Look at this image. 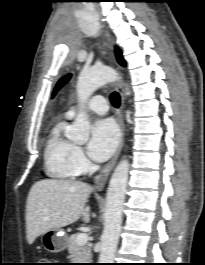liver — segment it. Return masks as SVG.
Instances as JSON below:
<instances>
[{"label":"liver","instance_id":"1","mask_svg":"<svg viewBox=\"0 0 205 265\" xmlns=\"http://www.w3.org/2000/svg\"><path fill=\"white\" fill-rule=\"evenodd\" d=\"M92 187L81 181L40 180L31 187L26 203L27 241L49 230L60 229L76 222L80 217L90 220V207L86 205Z\"/></svg>","mask_w":205,"mask_h":265}]
</instances>
